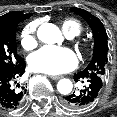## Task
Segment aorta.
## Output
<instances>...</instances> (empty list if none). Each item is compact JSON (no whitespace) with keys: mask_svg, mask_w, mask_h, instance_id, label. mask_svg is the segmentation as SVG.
I'll return each instance as SVG.
<instances>
[{"mask_svg":"<svg viewBox=\"0 0 117 117\" xmlns=\"http://www.w3.org/2000/svg\"><path fill=\"white\" fill-rule=\"evenodd\" d=\"M37 36L44 43H58L62 40L60 29L52 23L42 24L37 31ZM73 89V84L69 79H61L57 84V90L62 95H68Z\"/></svg>","mask_w":117,"mask_h":117,"instance_id":"762f6f07","label":"aorta"}]
</instances>
